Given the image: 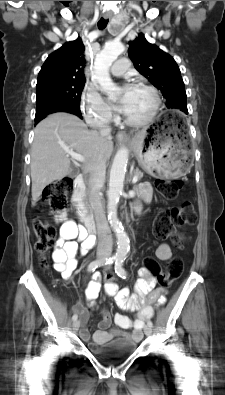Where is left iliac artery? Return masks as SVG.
<instances>
[{"label":"left iliac artery","instance_id":"1","mask_svg":"<svg viewBox=\"0 0 225 395\" xmlns=\"http://www.w3.org/2000/svg\"><path fill=\"white\" fill-rule=\"evenodd\" d=\"M123 262H124V259H123V258H117V259L115 260V266H114V268H115V273H116L119 277H121V278H126L127 273H126L125 269L123 268ZM147 325H149L150 327H152V326H153L152 321L149 320V321L147 322Z\"/></svg>","mask_w":225,"mask_h":395}]
</instances>
